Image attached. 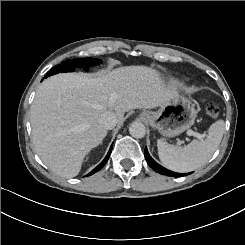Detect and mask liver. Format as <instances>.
<instances>
[{
    "instance_id": "obj_1",
    "label": "liver",
    "mask_w": 245,
    "mask_h": 245,
    "mask_svg": "<svg viewBox=\"0 0 245 245\" xmlns=\"http://www.w3.org/2000/svg\"><path fill=\"white\" fill-rule=\"evenodd\" d=\"M178 93L159 69L146 65L97 74L58 73L36 91L30 109L32 140L49 169L74 177L85 154L107 134L98 124L102 113L112 112L120 123L126 111L154 108Z\"/></svg>"
}]
</instances>
